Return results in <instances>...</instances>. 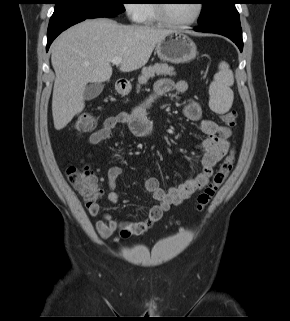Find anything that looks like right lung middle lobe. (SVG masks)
<instances>
[{
    "label": "right lung middle lobe",
    "instance_id": "1",
    "mask_svg": "<svg viewBox=\"0 0 290 321\" xmlns=\"http://www.w3.org/2000/svg\"><path fill=\"white\" fill-rule=\"evenodd\" d=\"M124 0H54L55 9L50 19L97 18L116 16L125 11Z\"/></svg>",
    "mask_w": 290,
    "mask_h": 321
}]
</instances>
